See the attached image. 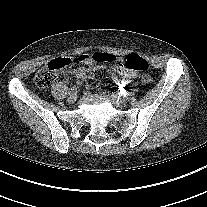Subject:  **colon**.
Instances as JSON below:
<instances>
[{
    "label": "colon",
    "instance_id": "5ec220e1",
    "mask_svg": "<svg viewBox=\"0 0 207 207\" xmlns=\"http://www.w3.org/2000/svg\"><path fill=\"white\" fill-rule=\"evenodd\" d=\"M92 59L97 62H113L115 56L112 54L98 52L91 55ZM72 59L69 57H59L50 61L44 68L39 70L35 77L34 83L39 89L48 88L55 80V72L63 68H69L72 66ZM125 68L135 72H146L149 68V64L146 59L138 54H129L125 60Z\"/></svg>",
    "mask_w": 207,
    "mask_h": 207
}]
</instances>
